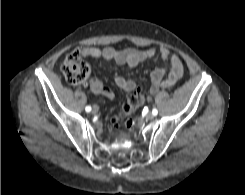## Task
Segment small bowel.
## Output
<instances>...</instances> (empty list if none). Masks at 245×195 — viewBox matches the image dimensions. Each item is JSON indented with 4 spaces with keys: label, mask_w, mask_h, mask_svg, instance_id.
I'll return each mask as SVG.
<instances>
[{
    "label": "small bowel",
    "mask_w": 245,
    "mask_h": 195,
    "mask_svg": "<svg viewBox=\"0 0 245 195\" xmlns=\"http://www.w3.org/2000/svg\"><path fill=\"white\" fill-rule=\"evenodd\" d=\"M81 53L85 57L103 59L118 65H128L130 67H135L141 62L151 60L159 53L161 59L169 64L166 68H156L151 73L150 95L156 94L160 88H169L173 86L183 76V64L180 58L164 47L160 48L159 51L155 48H148L145 50L133 48L117 50L112 47H85L82 49ZM114 81L119 88L127 92H132L136 88V84L133 80L122 76H116ZM89 87L95 94L103 95L109 99L114 98L113 91L104 86L102 81L98 78H92Z\"/></svg>",
    "instance_id": "1"
}]
</instances>
